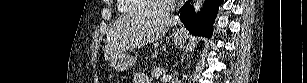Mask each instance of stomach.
<instances>
[{
    "label": "stomach",
    "instance_id": "obj_1",
    "mask_svg": "<svg viewBox=\"0 0 307 83\" xmlns=\"http://www.w3.org/2000/svg\"><path fill=\"white\" fill-rule=\"evenodd\" d=\"M172 40L176 46L182 47L185 43V33L180 30H176L172 34ZM135 63V58L126 55L115 56L110 59V66L113 70L123 72L129 69Z\"/></svg>",
    "mask_w": 307,
    "mask_h": 83
}]
</instances>
